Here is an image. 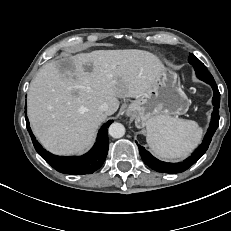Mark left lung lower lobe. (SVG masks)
Wrapping results in <instances>:
<instances>
[{
	"mask_svg": "<svg viewBox=\"0 0 231 231\" xmlns=\"http://www.w3.org/2000/svg\"><path fill=\"white\" fill-rule=\"evenodd\" d=\"M210 84L213 88V112H212V117H211V122L210 126L207 130V133L203 139V142L201 145L189 156L187 159H185L183 162L179 163H166L163 161H160L153 157L147 150H145L144 147L138 145L140 155L142 157V160L146 165H148L150 168L153 170H156L158 172L162 173H180L185 170H187L191 165H193L195 162H197L200 157L206 152V150L209 147V144L212 140V137L218 128L219 125V107H220V93L217 88V85L214 82H206Z\"/></svg>",
	"mask_w": 231,
	"mask_h": 231,
	"instance_id": "left-lung-lower-lobe-1",
	"label": "left lung lower lobe"
}]
</instances>
